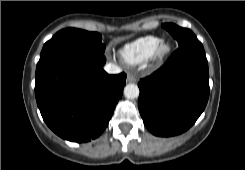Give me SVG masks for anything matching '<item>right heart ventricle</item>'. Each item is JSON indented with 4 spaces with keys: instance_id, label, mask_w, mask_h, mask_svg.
Listing matches in <instances>:
<instances>
[{
    "instance_id": "right-heart-ventricle-1",
    "label": "right heart ventricle",
    "mask_w": 245,
    "mask_h": 170,
    "mask_svg": "<svg viewBox=\"0 0 245 170\" xmlns=\"http://www.w3.org/2000/svg\"><path fill=\"white\" fill-rule=\"evenodd\" d=\"M161 40L156 36L140 37L127 43L119 50L120 57L128 64L135 65L149 60Z\"/></svg>"
}]
</instances>
